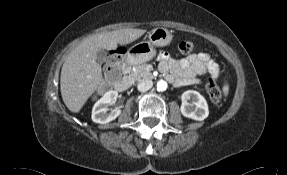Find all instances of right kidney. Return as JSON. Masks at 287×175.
Here are the masks:
<instances>
[{
	"label": "right kidney",
	"mask_w": 287,
	"mask_h": 175,
	"mask_svg": "<svg viewBox=\"0 0 287 175\" xmlns=\"http://www.w3.org/2000/svg\"><path fill=\"white\" fill-rule=\"evenodd\" d=\"M118 97V92L111 90L106 92L93 106L92 120L95 123L106 124L115 120L120 114L119 108L109 109Z\"/></svg>",
	"instance_id": "1"
}]
</instances>
